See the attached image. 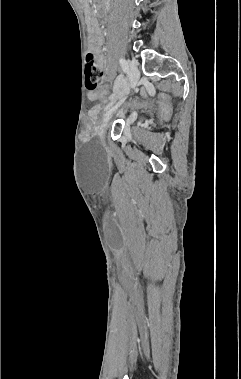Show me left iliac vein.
<instances>
[{"label":"left iliac vein","mask_w":241,"mask_h":379,"mask_svg":"<svg viewBox=\"0 0 241 379\" xmlns=\"http://www.w3.org/2000/svg\"><path fill=\"white\" fill-rule=\"evenodd\" d=\"M129 66V88L133 89L138 83L140 72L138 70V67L134 61H128ZM128 92L124 93L119 97L118 102L112 106L105 114L99 128H98V134L101 138L105 137L108 123L112 117V115L116 112V110L123 104L125 99L127 98Z\"/></svg>","instance_id":"left-iliac-vein-1"}]
</instances>
